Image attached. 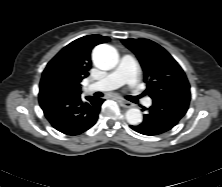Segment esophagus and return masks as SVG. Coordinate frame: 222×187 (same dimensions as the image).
<instances>
[{"label": "esophagus", "mask_w": 222, "mask_h": 187, "mask_svg": "<svg viewBox=\"0 0 222 187\" xmlns=\"http://www.w3.org/2000/svg\"><path fill=\"white\" fill-rule=\"evenodd\" d=\"M121 103H122V106H124L125 108H131L133 107V104L129 101H126L124 99H121Z\"/></svg>", "instance_id": "obj_1"}]
</instances>
